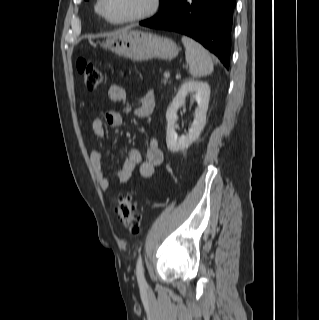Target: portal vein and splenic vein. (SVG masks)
I'll return each mask as SVG.
<instances>
[{
	"mask_svg": "<svg viewBox=\"0 0 319 320\" xmlns=\"http://www.w3.org/2000/svg\"><path fill=\"white\" fill-rule=\"evenodd\" d=\"M164 77L169 78L170 77V73L169 72H165Z\"/></svg>",
	"mask_w": 319,
	"mask_h": 320,
	"instance_id": "obj_1",
	"label": "portal vein and splenic vein"
}]
</instances>
